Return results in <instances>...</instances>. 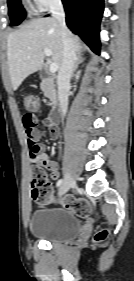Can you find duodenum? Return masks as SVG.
Instances as JSON below:
<instances>
[{
    "label": "duodenum",
    "instance_id": "410a0bca",
    "mask_svg": "<svg viewBox=\"0 0 134 281\" xmlns=\"http://www.w3.org/2000/svg\"><path fill=\"white\" fill-rule=\"evenodd\" d=\"M40 78L42 81H48V73L45 68H41L39 71ZM48 120L51 124L56 125L61 120V111L60 108H55L49 115Z\"/></svg>",
    "mask_w": 134,
    "mask_h": 281
}]
</instances>
